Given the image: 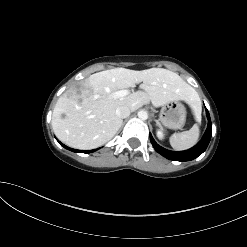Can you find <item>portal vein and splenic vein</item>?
<instances>
[{"label": "portal vein and splenic vein", "instance_id": "portal-vein-and-splenic-vein-1", "mask_svg": "<svg viewBox=\"0 0 247 247\" xmlns=\"http://www.w3.org/2000/svg\"><path fill=\"white\" fill-rule=\"evenodd\" d=\"M129 94V90H119V91H116L113 95H114V98H119V97H124L126 95Z\"/></svg>", "mask_w": 247, "mask_h": 247}]
</instances>
